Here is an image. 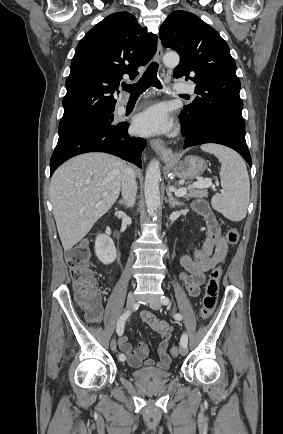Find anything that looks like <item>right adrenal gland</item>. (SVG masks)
Returning a JSON list of instances; mask_svg holds the SVG:
<instances>
[{
	"mask_svg": "<svg viewBox=\"0 0 283 434\" xmlns=\"http://www.w3.org/2000/svg\"><path fill=\"white\" fill-rule=\"evenodd\" d=\"M120 205H125L124 202L122 200L119 201Z\"/></svg>",
	"mask_w": 283,
	"mask_h": 434,
	"instance_id": "2a0ac1e0",
	"label": "right adrenal gland"
}]
</instances>
